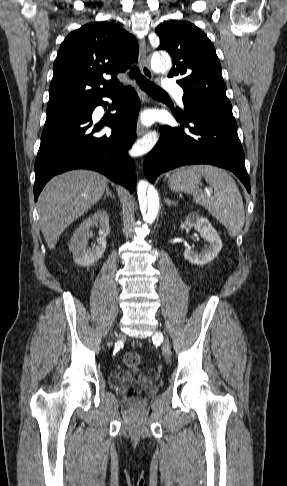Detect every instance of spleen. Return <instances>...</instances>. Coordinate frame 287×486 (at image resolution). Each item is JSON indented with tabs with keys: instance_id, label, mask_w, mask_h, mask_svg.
<instances>
[{
	"instance_id": "1",
	"label": "spleen",
	"mask_w": 287,
	"mask_h": 486,
	"mask_svg": "<svg viewBox=\"0 0 287 486\" xmlns=\"http://www.w3.org/2000/svg\"><path fill=\"white\" fill-rule=\"evenodd\" d=\"M195 169L204 175L209 185L214 188V197L198 189L193 194L194 201L222 223L230 237L238 236L245 223V213L236 182L227 171L214 166L198 165Z\"/></svg>"
}]
</instances>
